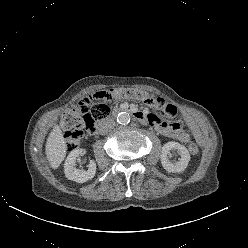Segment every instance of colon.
<instances>
[{
    "mask_svg": "<svg viewBox=\"0 0 248 248\" xmlns=\"http://www.w3.org/2000/svg\"><path fill=\"white\" fill-rule=\"evenodd\" d=\"M120 97L142 99L147 104L160 109L161 115L165 119H173L177 115V109L174 105L166 103L162 98L149 96L139 90L111 89L98 92L84 97L62 115L61 124L69 151L79 147L85 133L93 130L95 122L107 117L110 109L106 101ZM158 119L161 120L159 117ZM188 150L192 155H196L199 152V146L196 143H190Z\"/></svg>",
    "mask_w": 248,
    "mask_h": 248,
    "instance_id": "obj_1",
    "label": "colon"
}]
</instances>
